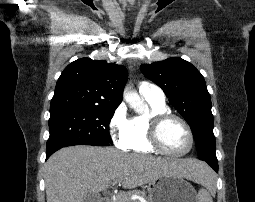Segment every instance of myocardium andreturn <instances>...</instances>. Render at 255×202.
Listing matches in <instances>:
<instances>
[{"instance_id":"myocardium-1","label":"myocardium","mask_w":255,"mask_h":202,"mask_svg":"<svg viewBox=\"0 0 255 202\" xmlns=\"http://www.w3.org/2000/svg\"><path fill=\"white\" fill-rule=\"evenodd\" d=\"M171 120H176L180 122L187 131V134L189 137V145L187 149L182 152L169 151L163 146L161 142V138H160L161 129L165 123ZM148 140L151 146L157 152L164 155H168V156H174V157H180V156H184L188 154L194 146V134L188 122L182 117L176 114H173L171 112L159 113L150 118L149 127H148Z\"/></svg>"}]
</instances>
